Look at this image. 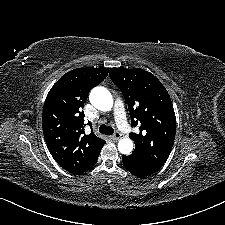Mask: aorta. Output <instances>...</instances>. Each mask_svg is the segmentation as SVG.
Returning <instances> with one entry per match:
<instances>
[{
    "label": "aorta",
    "mask_w": 225,
    "mask_h": 225,
    "mask_svg": "<svg viewBox=\"0 0 225 225\" xmlns=\"http://www.w3.org/2000/svg\"><path fill=\"white\" fill-rule=\"evenodd\" d=\"M91 104L101 110H110L113 105V98L110 91L102 86L93 88L89 95ZM118 150L121 154L129 155L133 151V141L128 138H123L118 142Z\"/></svg>",
    "instance_id": "762f6f07"
}]
</instances>
